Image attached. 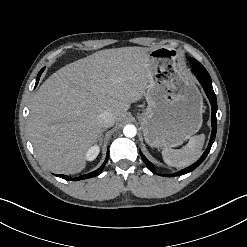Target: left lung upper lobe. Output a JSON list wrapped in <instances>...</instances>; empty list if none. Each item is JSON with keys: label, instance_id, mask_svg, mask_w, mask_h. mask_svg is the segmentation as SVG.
Returning <instances> with one entry per match:
<instances>
[{"label": "left lung upper lobe", "instance_id": "left-lung-upper-lobe-1", "mask_svg": "<svg viewBox=\"0 0 247 247\" xmlns=\"http://www.w3.org/2000/svg\"><path fill=\"white\" fill-rule=\"evenodd\" d=\"M189 61H190V65L193 63V64H196L197 66H200V71H202L203 73H205L206 75H209L208 72L206 71V69L203 67V65L201 63H199L196 59L194 58H188Z\"/></svg>", "mask_w": 247, "mask_h": 247}]
</instances>
